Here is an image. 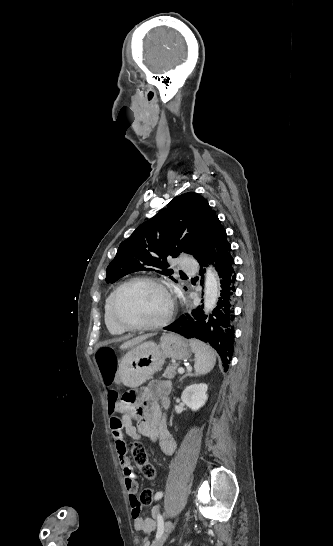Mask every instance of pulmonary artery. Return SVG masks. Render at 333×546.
I'll return each instance as SVG.
<instances>
[{"instance_id": "e3ab8cb5", "label": "pulmonary artery", "mask_w": 333, "mask_h": 546, "mask_svg": "<svg viewBox=\"0 0 333 546\" xmlns=\"http://www.w3.org/2000/svg\"><path fill=\"white\" fill-rule=\"evenodd\" d=\"M180 265L183 270L190 271L194 268V261L189 257H183L180 260Z\"/></svg>"}]
</instances>
